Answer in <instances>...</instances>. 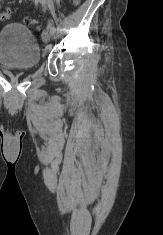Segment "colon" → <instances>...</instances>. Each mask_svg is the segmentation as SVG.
<instances>
[{"instance_id": "colon-1", "label": "colon", "mask_w": 163, "mask_h": 235, "mask_svg": "<svg viewBox=\"0 0 163 235\" xmlns=\"http://www.w3.org/2000/svg\"><path fill=\"white\" fill-rule=\"evenodd\" d=\"M73 3L75 5H78L80 3V0H73ZM11 14H12L11 10L7 9L6 11H4L3 13L0 14V20H7V19H9L11 17ZM24 22L26 24L30 25V24H34L35 21L32 18H30V17H26L24 19Z\"/></svg>"}]
</instances>
